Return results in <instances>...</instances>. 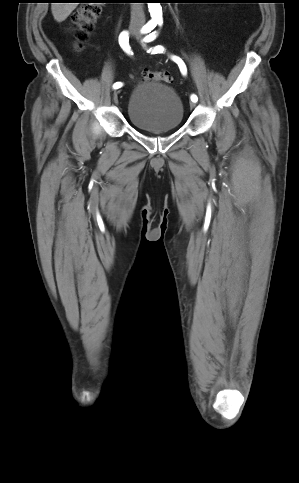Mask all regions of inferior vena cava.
I'll use <instances>...</instances> for the list:
<instances>
[{
    "label": "inferior vena cava",
    "mask_w": 299,
    "mask_h": 483,
    "mask_svg": "<svg viewBox=\"0 0 299 483\" xmlns=\"http://www.w3.org/2000/svg\"><path fill=\"white\" fill-rule=\"evenodd\" d=\"M145 24L143 3H131L130 27L139 30Z\"/></svg>",
    "instance_id": "1"
}]
</instances>
